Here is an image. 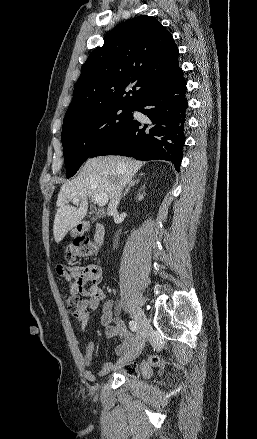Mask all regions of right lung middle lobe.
Wrapping results in <instances>:
<instances>
[{
  "mask_svg": "<svg viewBox=\"0 0 257 439\" xmlns=\"http://www.w3.org/2000/svg\"><path fill=\"white\" fill-rule=\"evenodd\" d=\"M134 110L112 105L64 120L61 141L67 178L75 175L98 145L133 119Z\"/></svg>",
  "mask_w": 257,
  "mask_h": 439,
  "instance_id": "obj_1",
  "label": "right lung middle lobe"
}]
</instances>
